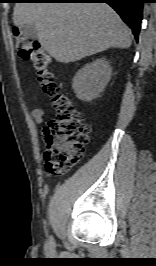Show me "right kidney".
Instances as JSON below:
<instances>
[{"mask_svg": "<svg viewBox=\"0 0 156 266\" xmlns=\"http://www.w3.org/2000/svg\"><path fill=\"white\" fill-rule=\"evenodd\" d=\"M112 68L105 59H98L79 70L72 83L76 97L83 101L96 98L110 81Z\"/></svg>", "mask_w": 156, "mask_h": 266, "instance_id": "right-kidney-1", "label": "right kidney"}]
</instances>
